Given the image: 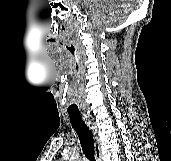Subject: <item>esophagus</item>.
Masks as SVG:
<instances>
[{
    "instance_id": "34e87169",
    "label": "esophagus",
    "mask_w": 171,
    "mask_h": 161,
    "mask_svg": "<svg viewBox=\"0 0 171 161\" xmlns=\"http://www.w3.org/2000/svg\"><path fill=\"white\" fill-rule=\"evenodd\" d=\"M82 118L84 122L87 124V126L90 128L92 134H93V139H94V153L96 157V161H102V153H101V142L98 134V129L97 126L94 122V119L92 115H90L88 112L82 113Z\"/></svg>"
}]
</instances>
